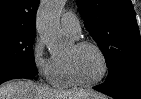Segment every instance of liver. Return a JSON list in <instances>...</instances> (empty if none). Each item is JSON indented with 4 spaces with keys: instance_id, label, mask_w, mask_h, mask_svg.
Wrapping results in <instances>:
<instances>
[{
    "instance_id": "1",
    "label": "liver",
    "mask_w": 141,
    "mask_h": 99,
    "mask_svg": "<svg viewBox=\"0 0 141 99\" xmlns=\"http://www.w3.org/2000/svg\"><path fill=\"white\" fill-rule=\"evenodd\" d=\"M0 99H105L95 91H59L30 80H12L0 86Z\"/></svg>"
}]
</instances>
